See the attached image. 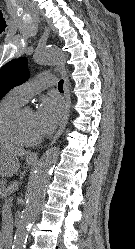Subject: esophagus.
I'll use <instances>...</instances> for the list:
<instances>
[{"label":"esophagus","mask_w":135,"mask_h":249,"mask_svg":"<svg viewBox=\"0 0 135 249\" xmlns=\"http://www.w3.org/2000/svg\"><path fill=\"white\" fill-rule=\"evenodd\" d=\"M59 71H60L61 76H62V78L64 80V95H65V98H66L67 106H66V111H65L62 123H61L58 131L56 132L55 136L53 137V139H52V141L50 143L51 145L54 144L56 142V140L60 137V135L63 133V131H64L65 127H66V124L68 122V118H69V115H70V109H71V97H70V92H69L68 77H67L66 71H65V69L63 67H59ZM28 156H29V158L37 159L38 158V153L37 152H32Z\"/></svg>","instance_id":"34e87169"}]
</instances>
